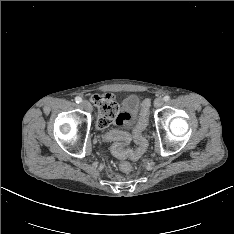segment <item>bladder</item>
Wrapping results in <instances>:
<instances>
[{
    "label": "bladder",
    "instance_id": "obj_1",
    "mask_svg": "<svg viewBox=\"0 0 234 234\" xmlns=\"http://www.w3.org/2000/svg\"><path fill=\"white\" fill-rule=\"evenodd\" d=\"M123 114L126 117L125 123L122 125L125 128L132 127L137 121L142 120L140 113V100L137 95H128L122 103Z\"/></svg>",
    "mask_w": 234,
    "mask_h": 234
}]
</instances>
